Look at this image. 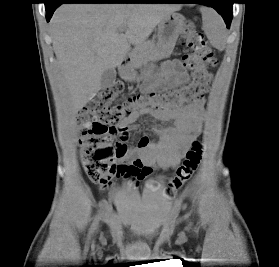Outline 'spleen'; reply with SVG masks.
Here are the masks:
<instances>
[{
    "instance_id": "1",
    "label": "spleen",
    "mask_w": 279,
    "mask_h": 267,
    "mask_svg": "<svg viewBox=\"0 0 279 267\" xmlns=\"http://www.w3.org/2000/svg\"><path fill=\"white\" fill-rule=\"evenodd\" d=\"M203 29L210 43L218 48H223L226 40L225 28L220 16L211 8L201 7Z\"/></svg>"
}]
</instances>
